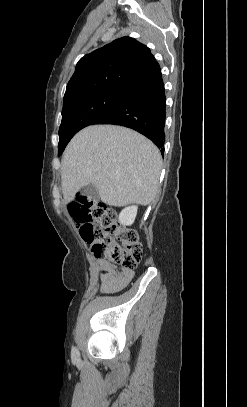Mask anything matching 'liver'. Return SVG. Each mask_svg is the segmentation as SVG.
<instances>
[{
	"mask_svg": "<svg viewBox=\"0 0 247 407\" xmlns=\"http://www.w3.org/2000/svg\"><path fill=\"white\" fill-rule=\"evenodd\" d=\"M162 166L158 148L146 137L115 125H93L78 132L62 158V194L74 200L94 184L111 206L149 205L156 197Z\"/></svg>",
	"mask_w": 247,
	"mask_h": 407,
	"instance_id": "1",
	"label": "liver"
}]
</instances>
